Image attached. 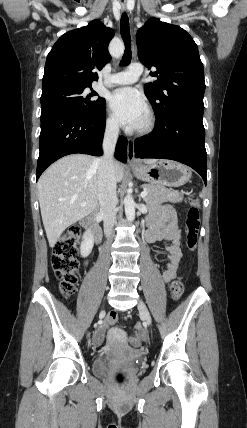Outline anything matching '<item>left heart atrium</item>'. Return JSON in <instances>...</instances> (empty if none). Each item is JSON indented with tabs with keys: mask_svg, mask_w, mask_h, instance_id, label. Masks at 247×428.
<instances>
[{
	"mask_svg": "<svg viewBox=\"0 0 247 428\" xmlns=\"http://www.w3.org/2000/svg\"><path fill=\"white\" fill-rule=\"evenodd\" d=\"M110 108L121 124L132 129L140 128L148 115L144 98L132 88L116 90L110 97Z\"/></svg>",
	"mask_w": 247,
	"mask_h": 428,
	"instance_id": "left-heart-atrium-1",
	"label": "left heart atrium"
}]
</instances>
